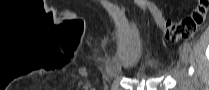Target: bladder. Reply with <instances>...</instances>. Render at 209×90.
<instances>
[{
  "instance_id": "1",
  "label": "bladder",
  "mask_w": 209,
  "mask_h": 90,
  "mask_svg": "<svg viewBox=\"0 0 209 90\" xmlns=\"http://www.w3.org/2000/svg\"><path fill=\"white\" fill-rule=\"evenodd\" d=\"M160 65L154 58H146L142 62L140 72L146 77L156 78L160 76Z\"/></svg>"
}]
</instances>
